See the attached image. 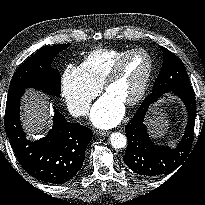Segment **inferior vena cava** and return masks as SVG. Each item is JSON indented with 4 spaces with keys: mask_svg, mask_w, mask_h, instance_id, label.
<instances>
[{
    "mask_svg": "<svg viewBox=\"0 0 205 205\" xmlns=\"http://www.w3.org/2000/svg\"><path fill=\"white\" fill-rule=\"evenodd\" d=\"M89 112V105L88 104H82L79 106H76L72 111L71 114L74 117H78V116H84L87 115Z\"/></svg>",
    "mask_w": 205,
    "mask_h": 205,
    "instance_id": "inferior-vena-cava-1",
    "label": "inferior vena cava"
}]
</instances>
